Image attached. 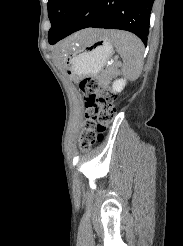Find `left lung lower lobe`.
<instances>
[{"mask_svg":"<svg viewBox=\"0 0 183 246\" xmlns=\"http://www.w3.org/2000/svg\"><path fill=\"white\" fill-rule=\"evenodd\" d=\"M154 0H80L51 45L88 27L120 29L136 34L147 45Z\"/></svg>","mask_w":183,"mask_h":246,"instance_id":"0a47b994","label":"left lung lower lobe"}]
</instances>
